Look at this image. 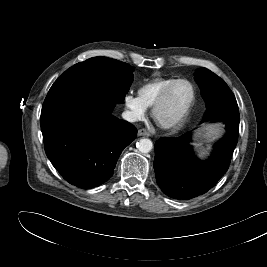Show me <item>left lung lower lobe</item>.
<instances>
[{"instance_id":"1","label":"left lung lower lobe","mask_w":267,"mask_h":267,"mask_svg":"<svg viewBox=\"0 0 267 267\" xmlns=\"http://www.w3.org/2000/svg\"><path fill=\"white\" fill-rule=\"evenodd\" d=\"M204 120L226 124V134L207 162H200L193 156L190 133L178 138L163 137L155 144L156 181L171 198L192 199L206 193L229 167L239 135V110L219 112Z\"/></svg>"}]
</instances>
